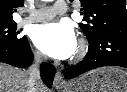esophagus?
Returning a JSON list of instances; mask_svg holds the SVG:
<instances>
[{
  "instance_id": "esophagus-1",
  "label": "esophagus",
  "mask_w": 127,
  "mask_h": 92,
  "mask_svg": "<svg viewBox=\"0 0 127 92\" xmlns=\"http://www.w3.org/2000/svg\"><path fill=\"white\" fill-rule=\"evenodd\" d=\"M53 85H54L55 88H63V87H66L67 86V84L64 81V79H63L62 74H61L60 71H57L56 72V75L54 77Z\"/></svg>"
}]
</instances>
